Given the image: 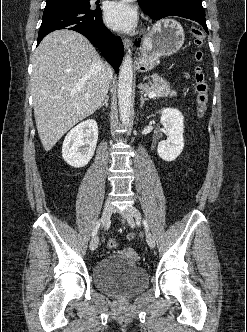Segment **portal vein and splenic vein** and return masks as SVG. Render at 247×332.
<instances>
[{"instance_id":"obj_1","label":"portal vein and splenic vein","mask_w":247,"mask_h":332,"mask_svg":"<svg viewBox=\"0 0 247 332\" xmlns=\"http://www.w3.org/2000/svg\"><path fill=\"white\" fill-rule=\"evenodd\" d=\"M156 96V93L155 92H150V93H148V97L149 98H153V97H155Z\"/></svg>"}]
</instances>
